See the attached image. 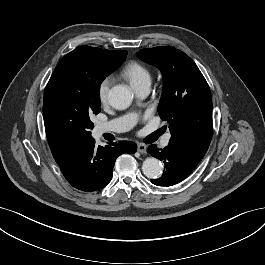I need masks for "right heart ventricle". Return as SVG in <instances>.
I'll use <instances>...</instances> for the list:
<instances>
[{"label":"right heart ventricle","mask_w":265,"mask_h":265,"mask_svg":"<svg viewBox=\"0 0 265 265\" xmlns=\"http://www.w3.org/2000/svg\"><path fill=\"white\" fill-rule=\"evenodd\" d=\"M122 76L129 81L134 89L151 83V73L149 69L136 61L129 62L123 68Z\"/></svg>","instance_id":"right-heart-ventricle-1"}]
</instances>
